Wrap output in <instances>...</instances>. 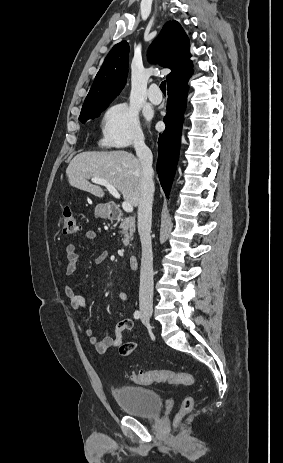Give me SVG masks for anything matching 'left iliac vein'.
<instances>
[{"label": "left iliac vein", "instance_id": "obj_1", "mask_svg": "<svg viewBox=\"0 0 283 463\" xmlns=\"http://www.w3.org/2000/svg\"><path fill=\"white\" fill-rule=\"evenodd\" d=\"M141 321L143 324L147 325L149 323V320L146 319L144 316H142Z\"/></svg>", "mask_w": 283, "mask_h": 463}]
</instances>
